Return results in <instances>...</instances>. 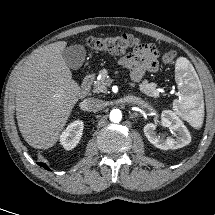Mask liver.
<instances>
[{"label": "liver", "instance_id": "1", "mask_svg": "<svg viewBox=\"0 0 215 215\" xmlns=\"http://www.w3.org/2000/svg\"><path fill=\"white\" fill-rule=\"evenodd\" d=\"M67 42L34 51L16 72V118L24 140L37 149L54 146L81 95L62 57Z\"/></svg>", "mask_w": 215, "mask_h": 215}]
</instances>
